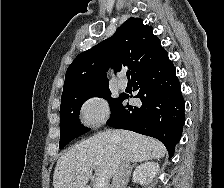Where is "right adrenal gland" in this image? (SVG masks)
Returning a JSON list of instances; mask_svg holds the SVG:
<instances>
[{
  "mask_svg": "<svg viewBox=\"0 0 224 188\" xmlns=\"http://www.w3.org/2000/svg\"><path fill=\"white\" fill-rule=\"evenodd\" d=\"M137 165V163H134L132 166H131V169H130V172H132V169Z\"/></svg>",
  "mask_w": 224,
  "mask_h": 188,
  "instance_id": "obj_1",
  "label": "right adrenal gland"
}]
</instances>
